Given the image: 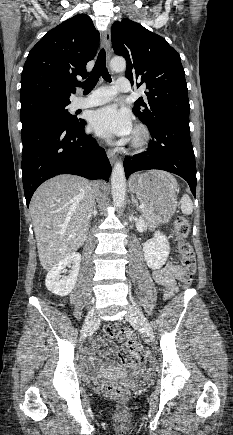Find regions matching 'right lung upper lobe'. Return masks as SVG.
Returning <instances> with one entry per match:
<instances>
[{
  "instance_id": "cb5924a9",
  "label": "right lung upper lobe",
  "mask_w": 233,
  "mask_h": 435,
  "mask_svg": "<svg viewBox=\"0 0 233 435\" xmlns=\"http://www.w3.org/2000/svg\"><path fill=\"white\" fill-rule=\"evenodd\" d=\"M99 33L86 14L50 30L29 52L21 75L20 115L70 104L76 77L97 52Z\"/></svg>"
}]
</instances>
